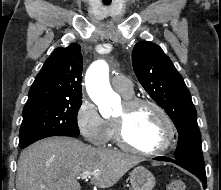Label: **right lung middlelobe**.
<instances>
[{"mask_svg": "<svg viewBox=\"0 0 221 190\" xmlns=\"http://www.w3.org/2000/svg\"><path fill=\"white\" fill-rule=\"evenodd\" d=\"M78 101H51L25 105L20 128V148L51 136L77 137L80 130L77 113Z\"/></svg>", "mask_w": 221, "mask_h": 190, "instance_id": "obj_1", "label": "right lung middle lobe"}]
</instances>
